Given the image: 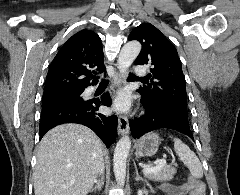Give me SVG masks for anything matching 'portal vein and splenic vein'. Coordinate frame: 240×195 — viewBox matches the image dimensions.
I'll return each mask as SVG.
<instances>
[{
	"label": "portal vein and splenic vein",
	"mask_w": 240,
	"mask_h": 195,
	"mask_svg": "<svg viewBox=\"0 0 240 195\" xmlns=\"http://www.w3.org/2000/svg\"><path fill=\"white\" fill-rule=\"evenodd\" d=\"M167 161L166 159H158V161H156L154 167H144V169H142L143 173H150V171H159V169H162V167H164V165H166Z\"/></svg>",
	"instance_id": "18ae733b"
}]
</instances>
